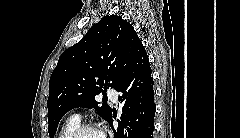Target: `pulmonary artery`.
<instances>
[{"mask_svg":"<svg viewBox=\"0 0 240 138\" xmlns=\"http://www.w3.org/2000/svg\"><path fill=\"white\" fill-rule=\"evenodd\" d=\"M109 98L113 101V102H117L118 100V92L114 89H110L108 92ZM75 118L79 119V115H75Z\"/></svg>","mask_w":240,"mask_h":138,"instance_id":"1","label":"pulmonary artery"}]
</instances>
